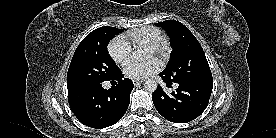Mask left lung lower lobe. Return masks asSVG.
Returning a JSON list of instances; mask_svg holds the SVG:
<instances>
[{
    "label": "left lung lower lobe",
    "mask_w": 276,
    "mask_h": 138,
    "mask_svg": "<svg viewBox=\"0 0 276 138\" xmlns=\"http://www.w3.org/2000/svg\"><path fill=\"white\" fill-rule=\"evenodd\" d=\"M159 75L167 84L173 83L162 73ZM177 84L178 88L170 95L158 86L152 94V101L159 114L167 120L174 123H187L197 118L208 106L213 81Z\"/></svg>",
    "instance_id": "0a47b994"
}]
</instances>
